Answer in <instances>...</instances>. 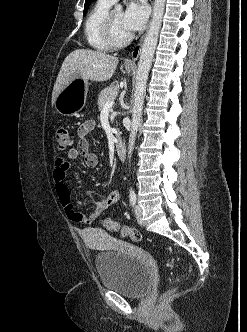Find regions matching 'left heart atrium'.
I'll use <instances>...</instances> for the list:
<instances>
[{
	"label": "left heart atrium",
	"instance_id": "left-heart-atrium-1",
	"mask_svg": "<svg viewBox=\"0 0 247 332\" xmlns=\"http://www.w3.org/2000/svg\"><path fill=\"white\" fill-rule=\"evenodd\" d=\"M148 10L145 5L132 2L123 13V25L130 32L141 30L146 24Z\"/></svg>",
	"mask_w": 247,
	"mask_h": 332
}]
</instances>
